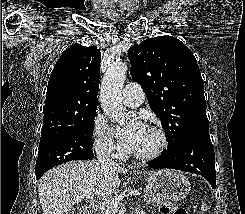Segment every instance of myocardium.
Wrapping results in <instances>:
<instances>
[{
  "instance_id": "1",
  "label": "myocardium",
  "mask_w": 245,
  "mask_h": 214,
  "mask_svg": "<svg viewBox=\"0 0 245 214\" xmlns=\"http://www.w3.org/2000/svg\"><path fill=\"white\" fill-rule=\"evenodd\" d=\"M149 130L153 131L159 138V143L157 145V147L155 149H153L150 152L147 153H133L130 152V154L141 161H150L153 160L157 157H159L167 148L168 146V137L166 132L164 131V129H162L159 126H149L148 127Z\"/></svg>"
}]
</instances>
